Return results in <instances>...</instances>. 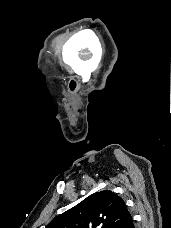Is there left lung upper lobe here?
I'll return each instance as SVG.
<instances>
[{
    "mask_svg": "<svg viewBox=\"0 0 171 228\" xmlns=\"http://www.w3.org/2000/svg\"><path fill=\"white\" fill-rule=\"evenodd\" d=\"M131 217L122 198L96 192L54 219L47 228H122Z\"/></svg>",
    "mask_w": 171,
    "mask_h": 228,
    "instance_id": "1",
    "label": "left lung upper lobe"
}]
</instances>
